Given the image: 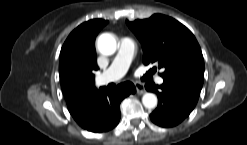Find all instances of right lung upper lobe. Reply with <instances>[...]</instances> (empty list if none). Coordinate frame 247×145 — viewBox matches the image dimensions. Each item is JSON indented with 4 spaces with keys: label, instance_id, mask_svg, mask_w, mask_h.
I'll return each instance as SVG.
<instances>
[{
    "label": "right lung upper lobe",
    "instance_id": "cb5924a9",
    "mask_svg": "<svg viewBox=\"0 0 247 145\" xmlns=\"http://www.w3.org/2000/svg\"><path fill=\"white\" fill-rule=\"evenodd\" d=\"M108 21L93 19L79 25L73 30L62 46L59 60V75L62 90L71 106L79 99L95 90L93 71L97 70L94 40L98 32ZM75 72L85 73L92 77V82L83 87H72L69 77Z\"/></svg>",
    "mask_w": 247,
    "mask_h": 145
}]
</instances>
